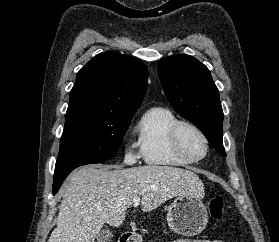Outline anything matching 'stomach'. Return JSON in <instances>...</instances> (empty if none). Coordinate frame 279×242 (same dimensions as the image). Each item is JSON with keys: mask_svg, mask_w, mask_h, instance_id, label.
<instances>
[{"mask_svg": "<svg viewBox=\"0 0 279 242\" xmlns=\"http://www.w3.org/2000/svg\"><path fill=\"white\" fill-rule=\"evenodd\" d=\"M167 223L171 231L182 236L200 234L207 226V207L199 197L181 195L168 207Z\"/></svg>", "mask_w": 279, "mask_h": 242, "instance_id": "stomach-1", "label": "stomach"}]
</instances>
